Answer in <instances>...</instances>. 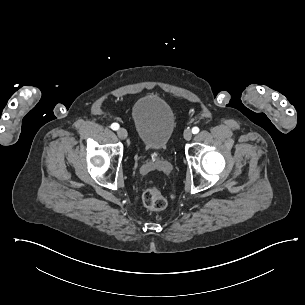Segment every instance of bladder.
<instances>
[{
  "mask_svg": "<svg viewBox=\"0 0 305 305\" xmlns=\"http://www.w3.org/2000/svg\"><path fill=\"white\" fill-rule=\"evenodd\" d=\"M131 120L141 142L156 150H164L175 129L174 108L162 96L147 93L131 107Z\"/></svg>",
  "mask_w": 305,
  "mask_h": 305,
  "instance_id": "bladder-1",
  "label": "bladder"
}]
</instances>
